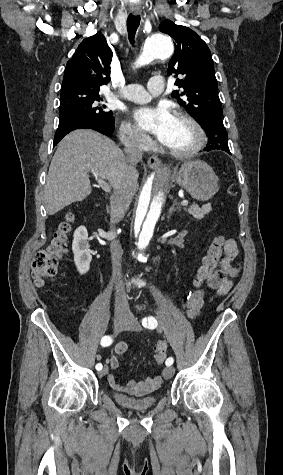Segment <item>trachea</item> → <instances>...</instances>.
I'll return each instance as SVG.
<instances>
[{"instance_id": "3493384b", "label": "trachea", "mask_w": 283, "mask_h": 475, "mask_svg": "<svg viewBox=\"0 0 283 475\" xmlns=\"http://www.w3.org/2000/svg\"><path fill=\"white\" fill-rule=\"evenodd\" d=\"M140 20H141L140 15H132V13H130L127 18L128 37L132 45L135 43L134 38H135L137 28L139 27Z\"/></svg>"}]
</instances>
